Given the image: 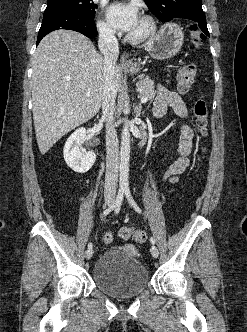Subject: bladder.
Instances as JSON below:
<instances>
[{
	"label": "bladder",
	"mask_w": 247,
	"mask_h": 332,
	"mask_svg": "<svg viewBox=\"0 0 247 332\" xmlns=\"http://www.w3.org/2000/svg\"><path fill=\"white\" fill-rule=\"evenodd\" d=\"M92 279L96 287L114 298H131L149 285V274L130 246H115L96 260Z\"/></svg>",
	"instance_id": "bladder-1"
}]
</instances>
